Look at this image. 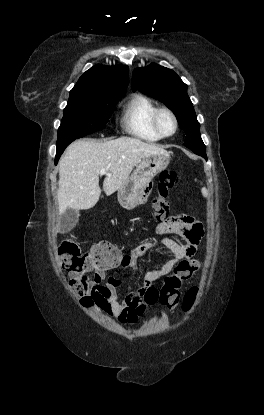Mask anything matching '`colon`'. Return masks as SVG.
<instances>
[{"instance_id":"obj_1","label":"colon","mask_w":264,"mask_h":415,"mask_svg":"<svg viewBox=\"0 0 264 415\" xmlns=\"http://www.w3.org/2000/svg\"><path fill=\"white\" fill-rule=\"evenodd\" d=\"M178 183V175L173 170L162 171L158 179V196L152 201V208L158 220L165 222L168 218L169 206L166 201L167 193ZM58 261L60 267L69 273L68 283L74 292L81 297L83 303L91 302L89 297H84L82 284L76 276L85 270L108 268L120 262L124 254L110 242L96 244L87 254H82L76 242L64 240L58 247ZM199 266V260L192 259L177 264L174 270L163 277L162 286H151L147 289L145 303L153 306L160 303L166 307L177 306L180 299V288L187 273ZM197 297L196 288H191L184 296L182 310L188 313L194 306Z\"/></svg>"}]
</instances>
